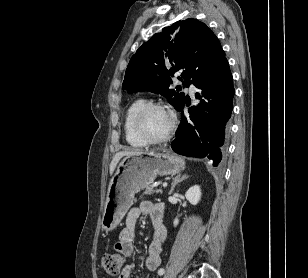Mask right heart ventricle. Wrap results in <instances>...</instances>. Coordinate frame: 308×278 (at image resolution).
Here are the masks:
<instances>
[{
  "label": "right heart ventricle",
  "mask_w": 308,
  "mask_h": 278,
  "mask_svg": "<svg viewBox=\"0 0 308 278\" xmlns=\"http://www.w3.org/2000/svg\"><path fill=\"white\" fill-rule=\"evenodd\" d=\"M146 103L143 98H137L133 100L126 108L123 118V129L125 139L127 143L134 148H142L147 146L144 140H142L134 131L132 119L135 112Z\"/></svg>",
  "instance_id": "e07e8e85"
}]
</instances>
